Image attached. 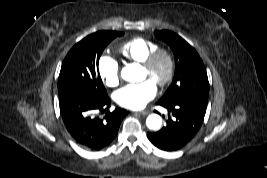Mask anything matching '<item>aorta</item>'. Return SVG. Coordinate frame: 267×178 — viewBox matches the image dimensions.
<instances>
[{
  "label": "aorta",
  "mask_w": 267,
  "mask_h": 178,
  "mask_svg": "<svg viewBox=\"0 0 267 178\" xmlns=\"http://www.w3.org/2000/svg\"><path fill=\"white\" fill-rule=\"evenodd\" d=\"M139 69L136 65H128L121 71V76L129 82L138 81ZM146 125L150 130H159L162 125V118L157 114H151L146 119Z\"/></svg>",
  "instance_id": "aorta-1"
}]
</instances>
